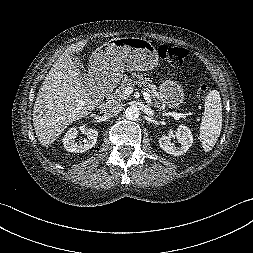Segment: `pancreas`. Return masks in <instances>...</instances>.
I'll use <instances>...</instances> for the list:
<instances>
[{"label": "pancreas", "mask_w": 253, "mask_h": 253, "mask_svg": "<svg viewBox=\"0 0 253 253\" xmlns=\"http://www.w3.org/2000/svg\"><path fill=\"white\" fill-rule=\"evenodd\" d=\"M137 79L138 81H134L133 79H130L127 76H125L122 79V82L120 86L118 87V89H116L114 98L118 101L127 99L129 95L125 94V89L128 86H134V85H138L142 87L144 91H146L149 95H151V97L154 98L156 96L157 87L152 83V81L149 78L144 77V75L142 74L138 75ZM154 105L156 107H159L157 102Z\"/></svg>", "instance_id": "obj_1"}]
</instances>
